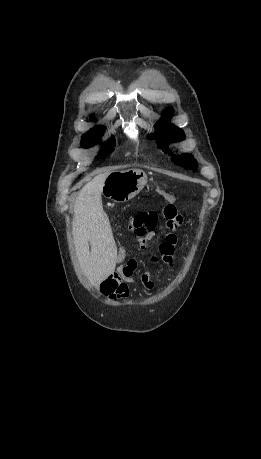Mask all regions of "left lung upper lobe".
Instances as JSON below:
<instances>
[{"label":"left lung upper lobe","mask_w":261,"mask_h":459,"mask_svg":"<svg viewBox=\"0 0 261 459\" xmlns=\"http://www.w3.org/2000/svg\"><path fill=\"white\" fill-rule=\"evenodd\" d=\"M173 109L168 108L163 112V118L156 123L157 135H150L149 138H158V144L164 151H169L167 142L180 141L185 136L183 131L177 126H173L169 122V118L172 114ZM173 160L177 164H181L185 168L195 169L197 162L192 156L182 155L176 157L172 155Z\"/></svg>","instance_id":"5c2ea615"}]
</instances>
